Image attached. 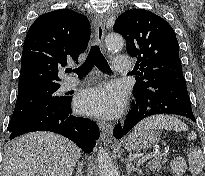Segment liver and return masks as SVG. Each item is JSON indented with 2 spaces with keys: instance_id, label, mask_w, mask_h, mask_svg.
<instances>
[{
  "instance_id": "obj_1",
  "label": "liver",
  "mask_w": 205,
  "mask_h": 176,
  "mask_svg": "<svg viewBox=\"0 0 205 176\" xmlns=\"http://www.w3.org/2000/svg\"><path fill=\"white\" fill-rule=\"evenodd\" d=\"M81 150L51 132H32L10 144L3 157V176H71Z\"/></svg>"
}]
</instances>
